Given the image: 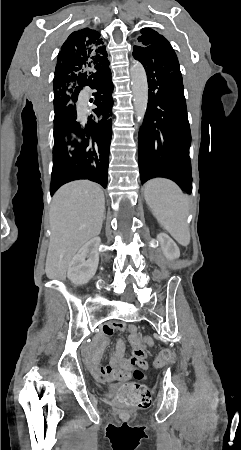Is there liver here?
I'll return each mask as SVG.
<instances>
[{
    "instance_id": "1",
    "label": "liver",
    "mask_w": 241,
    "mask_h": 450,
    "mask_svg": "<svg viewBox=\"0 0 241 450\" xmlns=\"http://www.w3.org/2000/svg\"><path fill=\"white\" fill-rule=\"evenodd\" d=\"M104 212L103 190L94 182H69L55 192L49 212L51 236L45 266L49 280H65L79 248L100 234Z\"/></svg>"
}]
</instances>
